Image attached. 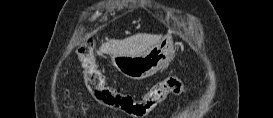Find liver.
<instances>
[{
	"mask_svg": "<svg viewBox=\"0 0 273 118\" xmlns=\"http://www.w3.org/2000/svg\"><path fill=\"white\" fill-rule=\"evenodd\" d=\"M162 35L138 33L122 40L110 39L103 43L100 51L110 55L135 56L161 40Z\"/></svg>",
	"mask_w": 273,
	"mask_h": 118,
	"instance_id": "liver-1",
	"label": "liver"
}]
</instances>
